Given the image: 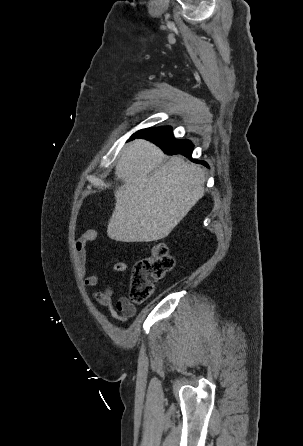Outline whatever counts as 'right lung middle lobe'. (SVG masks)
I'll use <instances>...</instances> for the list:
<instances>
[{
	"label": "right lung middle lobe",
	"instance_id": "obj_1",
	"mask_svg": "<svg viewBox=\"0 0 303 446\" xmlns=\"http://www.w3.org/2000/svg\"><path fill=\"white\" fill-rule=\"evenodd\" d=\"M148 129H149V128H147V129H143V130H140V131L136 132L135 134H133V136H132V137L138 136V135H140V134L144 133L145 131H147ZM132 137H131V138H132Z\"/></svg>",
	"mask_w": 303,
	"mask_h": 446
}]
</instances>
